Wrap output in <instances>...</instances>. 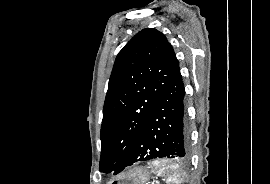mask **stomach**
<instances>
[{"mask_svg":"<svg viewBox=\"0 0 270 184\" xmlns=\"http://www.w3.org/2000/svg\"><path fill=\"white\" fill-rule=\"evenodd\" d=\"M151 172L143 167H136L130 171L111 179L108 184H147Z\"/></svg>","mask_w":270,"mask_h":184,"instance_id":"1","label":"stomach"}]
</instances>
